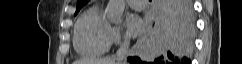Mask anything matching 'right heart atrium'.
<instances>
[{
    "label": "right heart atrium",
    "instance_id": "d8ad5b80",
    "mask_svg": "<svg viewBox=\"0 0 242 64\" xmlns=\"http://www.w3.org/2000/svg\"><path fill=\"white\" fill-rule=\"evenodd\" d=\"M125 40V37L119 27H111L109 30V41L111 44H119Z\"/></svg>",
    "mask_w": 242,
    "mask_h": 64
}]
</instances>
